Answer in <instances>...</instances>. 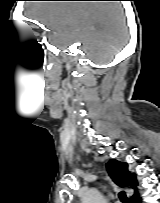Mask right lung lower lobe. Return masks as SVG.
Instances as JSON below:
<instances>
[{
  "label": "right lung lower lobe",
  "instance_id": "right-lung-lower-lobe-1",
  "mask_svg": "<svg viewBox=\"0 0 160 203\" xmlns=\"http://www.w3.org/2000/svg\"><path fill=\"white\" fill-rule=\"evenodd\" d=\"M136 203H141V199H140V198H138V201H137Z\"/></svg>",
  "mask_w": 160,
  "mask_h": 203
}]
</instances>
